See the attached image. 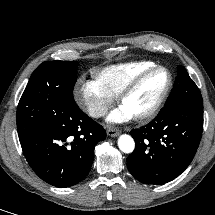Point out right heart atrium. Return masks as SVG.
Returning <instances> with one entry per match:
<instances>
[{"mask_svg":"<svg viewBox=\"0 0 215 215\" xmlns=\"http://www.w3.org/2000/svg\"><path fill=\"white\" fill-rule=\"evenodd\" d=\"M76 104L92 118L103 117L113 106L116 96L103 88L95 79L80 78L74 88Z\"/></svg>","mask_w":215,"mask_h":215,"instance_id":"obj_1","label":"right heart atrium"}]
</instances>
